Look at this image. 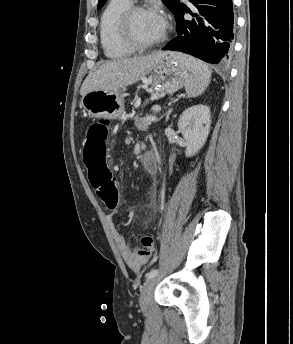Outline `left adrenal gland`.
Returning <instances> with one entry per match:
<instances>
[{"label": "left adrenal gland", "mask_w": 293, "mask_h": 344, "mask_svg": "<svg viewBox=\"0 0 293 344\" xmlns=\"http://www.w3.org/2000/svg\"><path fill=\"white\" fill-rule=\"evenodd\" d=\"M171 111H172V110H169V111L167 112L166 120L169 119V115H170Z\"/></svg>", "instance_id": "1"}]
</instances>
